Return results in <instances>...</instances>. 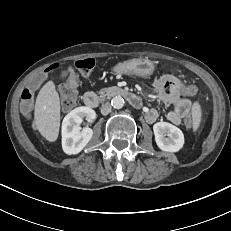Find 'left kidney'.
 <instances>
[{
    "label": "left kidney",
    "instance_id": "1",
    "mask_svg": "<svg viewBox=\"0 0 231 231\" xmlns=\"http://www.w3.org/2000/svg\"><path fill=\"white\" fill-rule=\"evenodd\" d=\"M153 131L156 144L162 151L178 152L184 145L183 132L168 122L155 123Z\"/></svg>",
    "mask_w": 231,
    "mask_h": 231
}]
</instances>
